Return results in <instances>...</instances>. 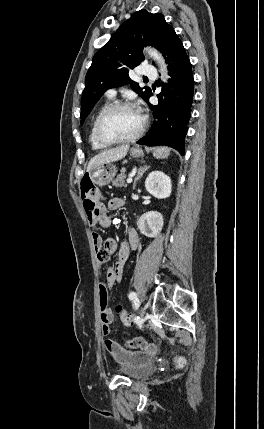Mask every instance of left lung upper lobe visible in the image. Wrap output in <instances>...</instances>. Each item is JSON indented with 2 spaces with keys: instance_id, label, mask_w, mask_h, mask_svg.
<instances>
[{
  "instance_id": "5c2ea615",
  "label": "left lung upper lobe",
  "mask_w": 264,
  "mask_h": 429,
  "mask_svg": "<svg viewBox=\"0 0 264 429\" xmlns=\"http://www.w3.org/2000/svg\"><path fill=\"white\" fill-rule=\"evenodd\" d=\"M172 29L162 14H152L145 9L135 12L118 28L108 43L94 55L86 74L81 99V124L109 88L131 83L132 89L148 100L151 89L141 88L138 83L131 81L128 72L144 60V46L151 45L161 51Z\"/></svg>"
}]
</instances>
